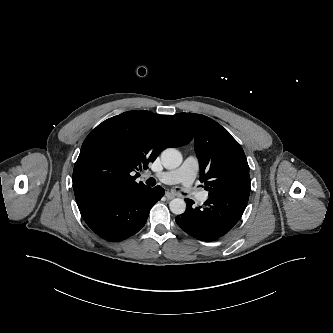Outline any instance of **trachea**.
<instances>
[{"instance_id": "obj_1", "label": "trachea", "mask_w": 333, "mask_h": 333, "mask_svg": "<svg viewBox=\"0 0 333 333\" xmlns=\"http://www.w3.org/2000/svg\"><path fill=\"white\" fill-rule=\"evenodd\" d=\"M146 183L149 185V186H154L156 184V180L154 178H149Z\"/></svg>"}]
</instances>
